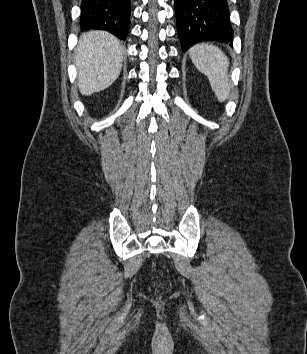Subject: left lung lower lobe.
<instances>
[{"label": "left lung lower lobe", "mask_w": 307, "mask_h": 354, "mask_svg": "<svg viewBox=\"0 0 307 354\" xmlns=\"http://www.w3.org/2000/svg\"><path fill=\"white\" fill-rule=\"evenodd\" d=\"M175 13L183 51L201 41L232 44L227 0H175Z\"/></svg>", "instance_id": "obj_1"}]
</instances>
